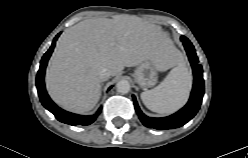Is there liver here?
Listing matches in <instances>:
<instances>
[{
  "label": "liver",
  "mask_w": 248,
  "mask_h": 158,
  "mask_svg": "<svg viewBox=\"0 0 248 158\" xmlns=\"http://www.w3.org/2000/svg\"><path fill=\"white\" fill-rule=\"evenodd\" d=\"M168 55L175 63V49L161 27L137 16L83 20L59 38L46 71V87L58 105L85 113L99 101L103 68L116 76L144 61L159 66Z\"/></svg>",
  "instance_id": "liver-1"
}]
</instances>
